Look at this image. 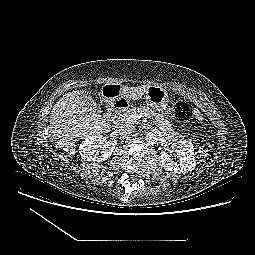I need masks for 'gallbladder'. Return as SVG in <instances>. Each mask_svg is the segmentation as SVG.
<instances>
[{"mask_svg": "<svg viewBox=\"0 0 255 255\" xmlns=\"http://www.w3.org/2000/svg\"><path fill=\"white\" fill-rule=\"evenodd\" d=\"M88 106L93 108L96 112H100L101 113V108L99 105L96 104V102L94 101H88L87 102Z\"/></svg>", "mask_w": 255, "mask_h": 255, "instance_id": "1", "label": "gallbladder"}]
</instances>
